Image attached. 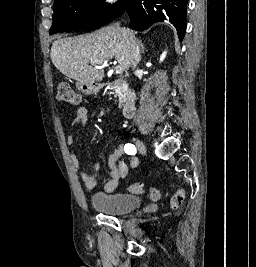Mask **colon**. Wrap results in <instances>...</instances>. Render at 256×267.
Masks as SVG:
<instances>
[{
	"mask_svg": "<svg viewBox=\"0 0 256 267\" xmlns=\"http://www.w3.org/2000/svg\"><path fill=\"white\" fill-rule=\"evenodd\" d=\"M57 99L67 105H77L81 102V95L75 90V87L67 82H61L57 85ZM145 184L142 182H133L129 184V192L139 195L144 192ZM151 201H156L158 192L154 188L148 189ZM184 189H177L171 198V206L173 210H177L183 203L185 198Z\"/></svg>",
	"mask_w": 256,
	"mask_h": 267,
	"instance_id": "obj_1",
	"label": "colon"
}]
</instances>
